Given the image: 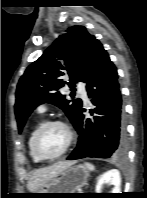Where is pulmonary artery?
<instances>
[{
	"label": "pulmonary artery",
	"instance_id": "1",
	"mask_svg": "<svg viewBox=\"0 0 147 198\" xmlns=\"http://www.w3.org/2000/svg\"><path fill=\"white\" fill-rule=\"evenodd\" d=\"M77 89H78V92H79L80 96L84 100V102L87 103L89 101V99H88L87 92H86V89H85L84 85L81 84V83L78 84ZM38 111L40 113H44L46 111V106L45 105H40L38 107Z\"/></svg>",
	"mask_w": 147,
	"mask_h": 198
}]
</instances>
